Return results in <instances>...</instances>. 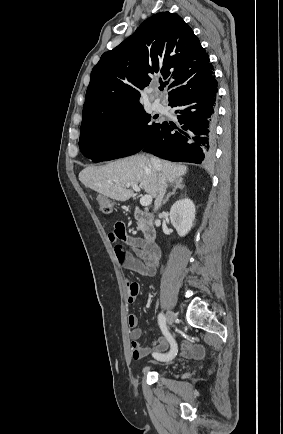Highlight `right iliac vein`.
<instances>
[{
	"label": "right iliac vein",
	"instance_id": "63e3f726",
	"mask_svg": "<svg viewBox=\"0 0 283 434\" xmlns=\"http://www.w3.org/2000/svg\"><path fill=\"white\" fill-rule=\"evenodd\" d=\"M176 319V314L173 311H167L166 313V320L169 325H172L174 320Z\"/></svg>",
	"mask_w": 283,
	"mask_h": 434
}]
</instances>
